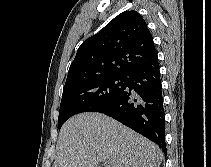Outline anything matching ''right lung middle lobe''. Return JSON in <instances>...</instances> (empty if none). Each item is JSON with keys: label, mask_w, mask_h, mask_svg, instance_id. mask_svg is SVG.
Here are the masks:
<instances>
[{"label": "right lung middle lobe", "mask_w": 211, "mask_h": 167, "mask_svg": "<svg viewBox=\"0 0 211 167\" xmlns=\"http://www.w3.org/2000/svg\"><path fill=\"white\" fill-rule=\"evenodd\" d=\"M125 89L124 76H105L64 88L58 127L71 116L82 112H95L113 101Z\"/></svg>", "instance_id": "dd1d6c3e"}]
</instances>
